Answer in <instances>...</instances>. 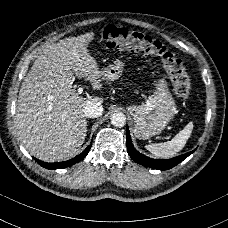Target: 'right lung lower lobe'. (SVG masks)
<instances>
[{"label":"right lung lower lobe","instance_id":"98d812e1","mask_svg":"<svg viewBox=\"0 0 228 228\" xmlns=\"http://www.w3.org/2000/svg\"><path fill=\"white\" fill-rule=\"evenodd\" d=\"M91 146H92V141H91V144L89 146H87V148L81 154H79L78 156H76L68 161H63V162H59V163H47V162L40 161L36 158H34V159L36 160V162L39 165H41L42 167L47 168V169L66 168V167L72 166V165L78 163L79 161H81L88 154Z\"/></svg>","mask_w":228,"mask_h":228}]
</instances>
